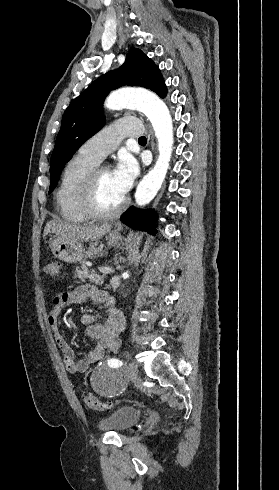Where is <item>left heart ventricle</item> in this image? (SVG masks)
<instances>
[{"mask_svg": "<svg viewBox=\"0 0 279 490\" xmlns=\"http://www.w3.org/2000/svg\"><path fill=\"white\" fill-rule=\"evenodd\" d=\"M99 204L102 208L109 210L118 205L121 198L111 179V171L107 170L101 173L99 179Z\"/></svg>", "mask_w": 279, "mask_h": 490, "instance_id": "b2bd125f", "label": "left heart ventricle"}]
</instances>
